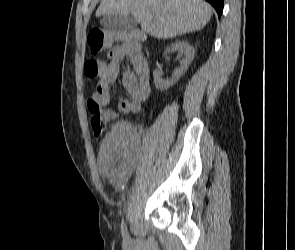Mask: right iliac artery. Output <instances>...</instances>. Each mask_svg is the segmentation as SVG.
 <instances>
[{
	"label": "right iliac artery",
	"instance_id": "obj_1",
	"mask_svg": "<svg viewBox=\"0 0 295 250\" xmlns=\"http://www.w3.org/2000/svg\"><path fill=\"white\" fill-rule=\"evenodd\" d=\"M121 231H122V236H123L124 241L128 242L129 235H128V232L126 230V226H125L124 221H122V224H121Z\"/></svg>",
	"mask_w": 295,
	"mask_h": 250
}]
</instances>
